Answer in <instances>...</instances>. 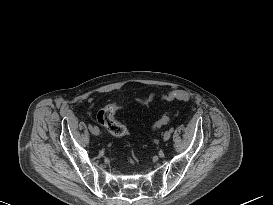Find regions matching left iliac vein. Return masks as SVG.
Segmentation results:
<instances>
[{
  "label": "left iliac vein",
  "instance_id": "1",
  "mask_svg": "<svg viewBox=\"0 0 273 205\" xmlns=\"http://www.w3.org/2000/svg\"><path fill=\"white\" fill-rule=\"evenodd\" d=\"M171 137V132L170 131H166L163 135V139L164 141H168Z\"/></svg>",
  "mask_w": 273,
  "mask_h": 205
}]
</instances>
